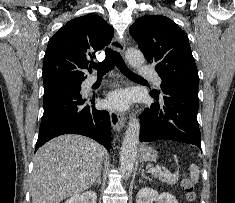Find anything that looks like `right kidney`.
Masks as SVG:
<instances>
[{
	"label": "right kidney",
	"mask_w": 235,
	"mask_h": 203,
	"mask_svg": "<svg viewBox=\"0 0 235 203\" xmlns=\"http://www.w3.org/2000/svg\"><path fill=\"white\" fill-rule=\"evenodd\" d=\"M97 195L94 191L73 195L65 203H96Z\"/></svg>",
	"instance_id": "obj_1"
}]
</instances>
